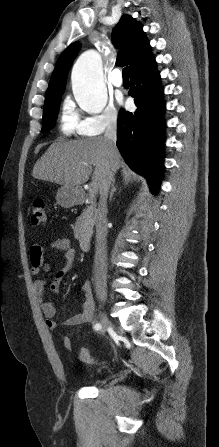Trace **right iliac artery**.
Segmentation results:
<instances>
[{
	"label": "right iliac artery",
	"instance_id": "obj_1",
	"mask_svg": "<svg viewBox=\"0 0 219 447\" xmlns=\"http://www.w3.org/2000/svg\"><path fill=\"white\" fill-rule=\"evenodd\" d=\"M101 328V325L99 324V323H96L95 325H94V329L95 330H99Z\"/></svg>",
	"mask_w": 219,
	"mask_h": 447
}]
</instances>
